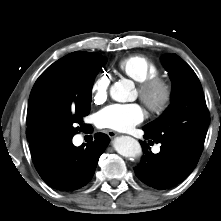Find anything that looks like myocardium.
I'll use <instances>...</instances> for the list:
<instances>
[{
  "instance_id": "1",
  "label": "myocardium",
  "mask_w": 221,
  "mask_h": 221,
  "mask_svg": "<svg viewBox=\"0 0 221 221\" xmlns=\"http://www.w3.org/2000/svg\"><path fill=\"white\" fill-rule=\"evenodd\" d=\"M139 96L151 113L162 114L171 103L172 88L167 79L157 75L139 83Z\"/></svg>"
}]
</instances>
